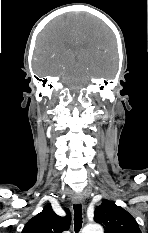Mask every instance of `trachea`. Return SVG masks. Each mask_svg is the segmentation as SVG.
Here are the masks:
<instances>
[{"mask_svg":"<svg viewBox=\"0 0 148 233\" xmlns=\"http://www.w3.org/2000/svg\"><path fill=\"white\" fill-rule=\"evenodd\" d=\"M74 209V230L79 232L82 227L83 217H82V206L81 204H76L73 206Z\"/></svg>","mask_w":148,"mask_h":233,"instance_id":"obj_1","label":"trachea"}]
</instances>
